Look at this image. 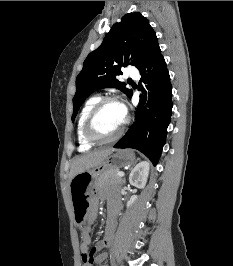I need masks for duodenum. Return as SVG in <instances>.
<instances>
[{
	"mask_svg": "<svg viewBox=\"0 0 233 266\" xmlns=\"http://www.w3.org/2000/svg\"><path fill=\"white\" fill-rule=\"evenodd\" d=\"M115 215H116V211L113 208H111L109 211V218L115 217Z\"/></svg>",
	"mask_w": 233,
	"mask_h": 266,
	"instance_id": "obj_1",
	"label": "duodenum"
}]
</instances>
